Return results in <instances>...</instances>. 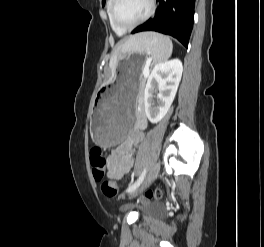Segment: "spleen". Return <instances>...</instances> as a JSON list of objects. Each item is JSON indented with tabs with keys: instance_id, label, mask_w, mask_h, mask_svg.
<instances>
[{
	"instance_id": "spleen-1",
	"label": "spleen",
	"mask_w": 264,
	"mask_h": 247,
	"mask_svg": "<svg viewBox=\"0 0 264 247\" xmlns=\"http://www.w3.org/2000/svg\"><path fill=\"white\" fill-rule=\"evenodd\" d=\"M172 50L173 44L169 37L148 32L135 39L125 52L149 53L154 63H160L171 56Z\"/></svg>"
}]
</instances>
